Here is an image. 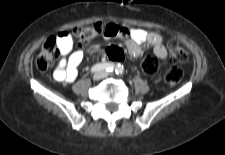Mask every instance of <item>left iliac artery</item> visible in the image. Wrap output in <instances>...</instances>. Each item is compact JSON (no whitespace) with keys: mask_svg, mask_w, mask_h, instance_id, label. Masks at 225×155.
Here are the masks:
<instances>
[{"mask_svg":"<svg viewBox=\"0 0 225 155\" xmlns=\"http://www.w3.org/2000/svg\"><path fill=\"white\" fill-rule=\"evenodd\" d=\"M123 70H124L123 65L118 64V65L116 66V68H115V73H116L117 75H120V74L123 73Z\"/></svg>","mask_w":225,"mask_h":155,"instance_id":"1","label":"left iliac artery"}]
</instances>
